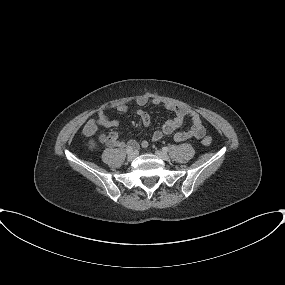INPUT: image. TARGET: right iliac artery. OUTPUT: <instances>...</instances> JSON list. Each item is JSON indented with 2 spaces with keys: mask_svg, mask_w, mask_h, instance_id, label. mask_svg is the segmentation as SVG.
Instances as JSON below:
<instances>
[{
  "mask_svg": "<svg viewBox=\"0 0 285 285\" xmlns=\"http://www.w3.org/2000/svg\"><path fill=\"white\" fill-rule=\"evenodd\" d=\"M126 151H127V153H131V152H133V148L128 146Z\"/></svg>",
  "mask_w": 285,
  "mask_h": 285,
  "instance_id": "right-iliac-artery-1",
  "label": "right iliac artery"
}]
</instances>
